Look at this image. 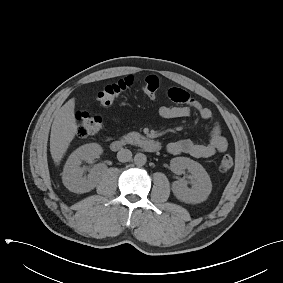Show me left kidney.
Masks as SVG:
<instances>
[{"label": "left kidney", "mask_w": 283, "mask_h": 283, "mask_svg": "<svg viewBox=\"0 0 283 283\" xmlns=\"http://www.w3.org/2000/svg\"><path fill=\"white\" fill-rule=\"evenodd\" d=\"M170 168L177 175L183 174L185 170L191 173V188L183 180L173 182L172 191L177 199L185 203L196 204L208 198L212 190V183L201 164L186 157H176L170 161Z\"/></svg>", "instance_id": "left-kidney-1"}]
</instances>
